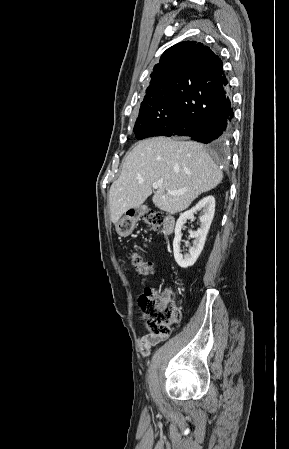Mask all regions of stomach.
<instances>
[{"mask_svg":"<svg viewBox=\"0 0 289 449\" xmlns=\"http://www.w3.org/2000/svg\"><path fill=\"white\" fill-rule=\"evenodd\" d=\"M137 217L124 216L116 223V231L121 237L129 236L136 225Z\"/></svg>","mask_w":289,"mask_h":449,"instance_id":"stomach-1","label":"stomach"}]
</instances>
